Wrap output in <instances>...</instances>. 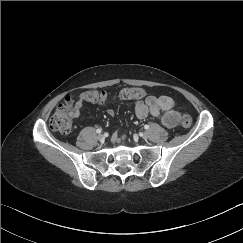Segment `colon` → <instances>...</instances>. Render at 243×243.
Listing matches in <instances>:
<instances>
[{"mask_svg":"<svg viewBox=\"0 0 243 243\" xmlns=\"http://www.w3.org/2000/svg\"><path fill=\"white\" fill-rule=\"evenodd\" d=\"M146 95V92L141 88H125L119 94V99H142ZM84 101L97 103L106 102L109 97L104 92L89 91L83 95ZM72 110L73 101L71 98H66L59 106L57 111L52 115L50 119V127L63 134L71 132L72 123ZM181 124L185 128H189L192 125V119L189 114L183 113L181 116Z\"/></svg>","mask_w":243,"mask_h":243,"instance_id":"obj_1","label":"colon"}]
</instances>
